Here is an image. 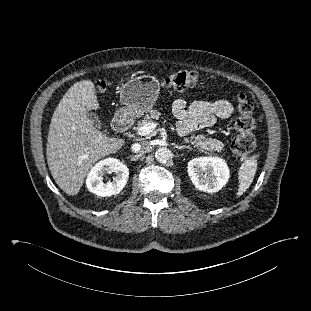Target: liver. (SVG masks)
Returning a JSON list of instances; mask_svg holds the SVG:
<instances>
[{
    "label": "liver",
    "mask_w": 311,
    "mask_h": 311,
    "mask_svg": "<svg viewBox=\"0 0 311 311\" xmlns=\"http://www.w3.org/2000/svg\"><path fill=\"white\" fill-rule=\"evenodd\" d=\"M99 108L91 80L75 83L56 107L49 126L47 163L57 185L68 195H77L90 168L115 153L125 141L98 130L87 112Z\"/></svg>",
    "instance_id": "obj_1"
}]
</instances>
